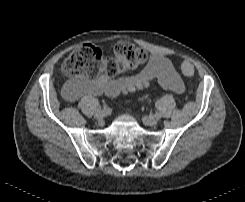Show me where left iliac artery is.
Returning <instances> with one entry per match:
<instances>
[{"mask_svg": "<svg viewBox=\"0 0 245 202\" xmlns=\"http://www.w3.org/2000/svg\"><path fill=\"white\" fill-rule=\"evenodd\" d=\"M155 117L159 119L161 117V114L160 113H156Z\"/></svg>", "mask_w": 245, "mask_h": 202, "instance_id": "obj_1", "label": "left iliac artery"}]
</instances>
